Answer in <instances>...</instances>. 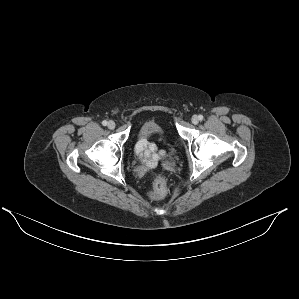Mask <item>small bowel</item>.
Instances as JSON below:
<instances>
[{
  "mask_svg": "<svg viewBox=\"0 0 299 299\" xmlns=\"http://www.w3.org/2000/svg\"><path fill=\"white\" fill-rule=\"evenodd\" d=\"M135 150L140 159L149 167L155 166L161 154L157 142H149L148 140L139 141Z\"/></svg>",
  "mask_w": 299,
  "mask_h": 299,
  "instance_id": "obj_1",
  "label": "small bowel"
}]
</instances>
